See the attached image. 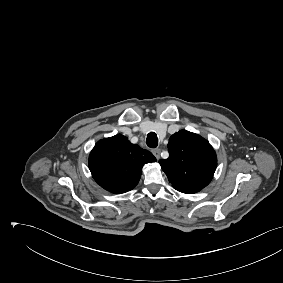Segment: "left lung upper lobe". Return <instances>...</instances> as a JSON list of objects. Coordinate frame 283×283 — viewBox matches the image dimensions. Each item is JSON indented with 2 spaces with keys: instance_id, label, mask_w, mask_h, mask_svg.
<instances>
[{
  "instance_id": "left-lung-upper-lobe-1",
  "label": "left lung upper lobe",
  "mask_w": 283,
  "mask_h": 283,
  "mask_svg": "<svg viewBox=\"0 0 283 283\" xmlns=\"http://www.w3.org/2000/svg\"><path fill=\"white\" fill-rule=\"evenodd\" d=\"M167 147L169 158L159 163L174 189L193 194L210 183L217 167V158L207 140L181 130L170 137Z\"/></svg>"
}]
</instances>
